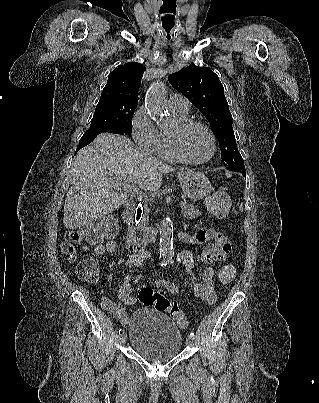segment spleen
Returning a JSON list of instances; mask_svg holds the SVG:
<instances>
[{
    "label": "spleen",
    "instance_id": "obj_1",
    "mask_svg": "<svg viewBox=\"0 0 319 403\" xmlns=\"http://www.w3.org/2000/svg\"><path fill=\"white\" fill-rule=\"evenodd\" d=\"M240 210H241V211L243 210V205L240 206Z\"/></svg>",
    "mask_w": 319,
    "mask_h": 403
}]
</instances>
